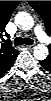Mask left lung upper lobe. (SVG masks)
Here are the masks:
<instances>
[{"instance_id": "1", "label": "left lung upper lobe", "mask_w": 51, "mask_h": 101, "mask_svg": "<svg viewBox=\"0 0 51 101\" xmlns=\"http://www.w3.org/2000/svg\"><path fill=\"white\" fill-rule=\"evenodd\" d=\"M30 6L42 17L47 34H51V2L49 1H28Z\"/></svg>"}]
</instances>
